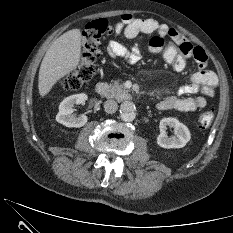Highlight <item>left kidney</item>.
Here are the masks:
<instances>
[{"label":"left kidney","instance_id":"5707ae66","mask_svg":"<svg viewBox=\"0 0 233 233\" xmlns=\"http://www.w3.org/2000/svg\"><path fill=\"white\" fill-rule=\"evenodd\" d=\"M174 128L175 136L168 137L167 127ZM160 134L157 137V144L162 148H182L191 139V134L187 126L179 122L178 119L168 117L160 121Z\"/></svg>","mask_w":233,"mask_h":233}]
</instances>
